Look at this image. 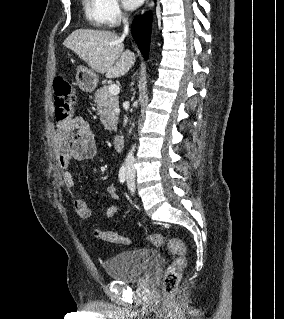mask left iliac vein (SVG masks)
<instances>
[{
    "mask_svg": "<svg viewBox=\"0 0 284 319\" xmlns=\"http://www.w3.org/2000/svg\"><path fill=\"white\" fill-rule=\"evenodd\" d=\"M127 185H128V188L130 189L131 192L135 191L134 179H133L132 174H130V173L127 175Z\"/></svg>",
    "mask_w": 284,
    "mask_h": 319,
    "instance_id": "left-iliac-vein-1",
    "label": "left iliac vein"
}]
</instances>
